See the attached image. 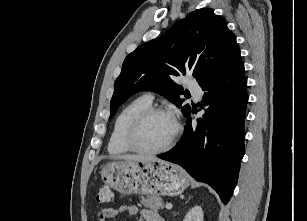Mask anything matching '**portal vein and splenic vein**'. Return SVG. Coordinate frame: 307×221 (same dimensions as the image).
Instances as JSON below:
<instances>
[{"mask_svg":"<svg viewBox=\"0 0 307 221\" xmlns=\"http://www.w3.org/2000/svg\"><path fill=\"white\" fill-rule=\"evenodd\" d=\"M166 208H167L168 210L172 209V204L167 203V204H166Z\"/></svg>","mask_w":307,"mask_h":221,"instance_id":"obj_1","label":"portal vein and splenic vein"}]
</instances>
